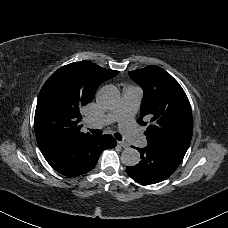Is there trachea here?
<instances>
[{
	"instance_id": "1",
	"label": "trachea",
	"mask_w": 228,
	"mask_h": 228,
	"mask_svg": "<svg viewBox=\"0 0 228 228\" xmlns=\"http://www.w3.org/2000/svg\"><path fill=\"white\" fill-rule=\"evenodd\" d=\"M92 134H94V135H101L102 134V130H100V129H88ZM114 137L117 139V140H119V141H121L122 140V136H121V134H119L118 132H116L115 134H114Z\"/></svg>"
}]
</instances>
